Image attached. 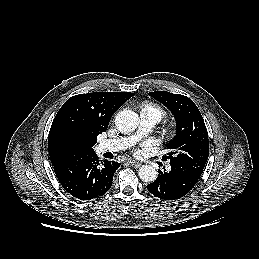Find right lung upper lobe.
<instances>
[{
  "label": "right lung upper lobe",
  "mask_w": 259,
  "mask_h": 259,
  "mask_svg": "<svg viewBox=\"0 0 259 259\" xmlns=\"http://www.w3.org/2000/svg\"><path fill=\"white\" fill-rule=\"evenodd\" d=\"M133 95L130 92H94L69 98L50 128L48 149L51 162L69 156L61 148V140L68 134L76 138L79 148H92L97 136L106 131L112 115Z\"/></svg>",
  "instance_id": "obj_1"
}]
</instances>
